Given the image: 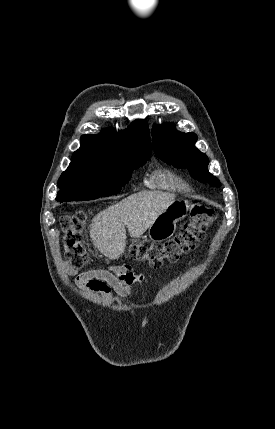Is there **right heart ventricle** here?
Segmentation results:
<instances>
[{
    "instance_id": "1",
    "label": "right heart ventricle",
    "mask_w": 275,
    "mask_h": 429,
    "mask_svg": "<svg viewBox=\"0 0 275 429\" xmlns=\"http://www.w3.org/2000/svg\"><path fill=\"white\" fill-rule=\"evenodd\" d=\"M152 186L166 190H187V183L179 176L171 172H157L151 177Z\"/></svg>"
}]
</instances>
